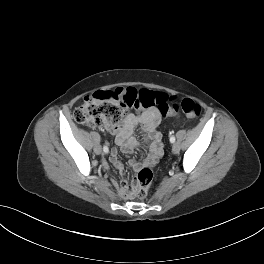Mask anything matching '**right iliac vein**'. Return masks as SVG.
Instances as JSON below:
<instances>
[{"label": "right iliac vein", "instance_id": "1", "mask_svg": "<svg viewBox=\"0 0 264 264\" xmlns=\"http://www.w3.org/2000/svg\"><path fill=\"white\" fill-rule=\"evenodd\" d=\"M94 151H95L96 154H100V153L102 152V149H101V147L98 145V146H96V147L94 148Z\"/></svg>", "mask_w": 264, "mask_h": 264}]
</instances>
